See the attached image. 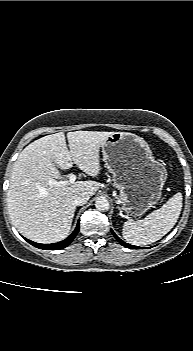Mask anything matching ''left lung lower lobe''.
<instances>
[{
	"mask_svg": "<svg viewBox=\"0 0 193 351\" xmlns=\"http://www.w3.org/2000/svg\"><path fill=\"white\" fill-rule=\"evenodd\" d=\"M112 231V230H111ZM112 234L114 235V237L116 238V240L124 247L126 248H130V249H134V248H142V247H137V246H133V245H130L128 243H125L124 241H122L113 231H112Z\"/></svg>",
	"mask_w": 193,
	"mask_h": 351,
	"instance_id": "left-lung-lower-lobe-1",
	"label": "left lung lower lobe"
}]
</instances>
